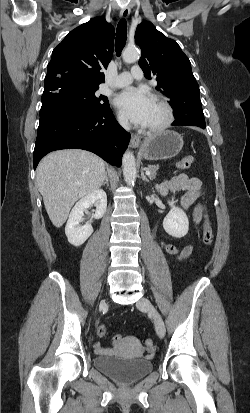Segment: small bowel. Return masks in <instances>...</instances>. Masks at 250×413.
<instances>
[{
    "instance_id": "1",
    "label": "small bowel",
    "mask_w": 250,
    "mask_h": 413,
    "mask_svg": "<svg viewBox=\"0 0 250 413\" xmlns=\"http://www.w3.org/2000/svg\"><path fill=\"white\" fill-rule=\"evenodd\" d=\"M159 191L162 194L175 193L178 191H184V195L181 198V205L183 208L188 209L191 207L200 195L201 182L199 179L194 177H189L186 174H178L173 178L162 182L158 186ZM202 207L197 205L194 209L193 217L194 224L197 225L201 219ZM163 249L167 254L173 256L178 261H183L189 257L192 251L191 246H185L183 248L176 247L175 245L167 242L162 243ZM122 342V339L119 341ZM118 346L113 348H104L100 344H96L95 351L97 354H111L115 352Z\"/></svg>"
}]
</instances>
